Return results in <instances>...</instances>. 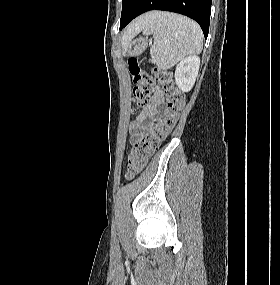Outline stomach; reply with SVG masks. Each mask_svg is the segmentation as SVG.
I'll use <instances>...</instances> for the list:
<instances>
[{
  "instance_id": "0dacf381",
  "label": "stomach",
  "mask_w": 280,
  "mask_h": 285,
  "mask_svg": "<svg viewBox=\"0 0 280 285\" xmlns=\"http://www.w3.org/2000/svg\"><path fill=\"white\" fill-rule=\"evenodd\" d=\"M148 46L147 38H136L128 44L127 54L129 56L140 55Z\"/></svg>"
}]
</instances>
